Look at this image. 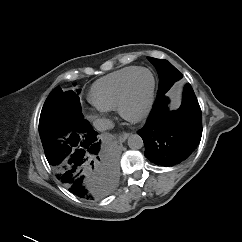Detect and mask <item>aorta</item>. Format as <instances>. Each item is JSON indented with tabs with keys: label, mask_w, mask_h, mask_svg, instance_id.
<instances>
[{
	"label": "aorta",
	"mask_w": 242,
	"mask_h": 242,
	"mask_svg": "<svg viewBox=\"0 0 242 242\" xmlns=\"http://www.w3.org/2000/svg\"><path fill=\"white\" fill-rule=\"evenodd\" d=\"M128 146L132 150L141 149L144 146L143 139L138 134H132L128 137L127 140Z\"/></svg>",
	"instance_id": "obj_1"
}]
</instances>
